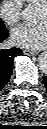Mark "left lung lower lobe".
Returning <instances> with one entry per match:
<instances>
[{"label": "left lung lower lobe", "instance_id": "0a47b994", "mask_svg": "<svg viewBox=\"0 0 47 129\" xmlns=\"http://www.w3.org/2000/svg\"><path fill=\"white\" fill-rule=\"evenodd\" d=\"M44 84H45V86L47 88V76L44 77Z\"/></svg>", "mask_w": 47, "mask_h": 129}]
</instances>
